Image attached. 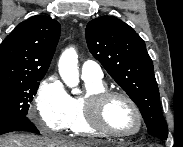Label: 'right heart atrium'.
Instances as JSON below:
<instances>
[{"label":"right heart atrium","mask_w":183,"mask_h":147,"mask_svg":"<svg viewBox=\"0 0 183 147\" xmlns=\"http://www.w3.org/2000/svg\"><path fill=\"white\" fill-rule=\"evenodd\" d=\"M37 125L54 132L63 131L70 117V96L55 75L44 78L36 92Z\"/></svg>","instance_id":"obj_1"}]
</instances>
